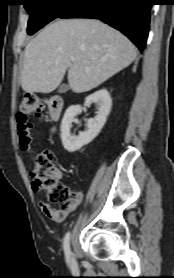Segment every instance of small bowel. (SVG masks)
<instances>
[{"label":"small bowel","mask_w":174,"mask_h":278,"mask_svg":"<svg viewBox=\"0 0 174 278\" xmlns=\"http://www.w3.org/2000/svg\"><path fill=\"white\" fill-rule=\"evenodd\" d=\"M59 177L60 173L58 172V178ZM82 200L83 193L81 191H76L73 197L69 198L60 209H56L44 201H39V207L48 218L56 222H61L79 207Z\"/></svg>","instance_id":"small-bowel-1"}]
</instances>
